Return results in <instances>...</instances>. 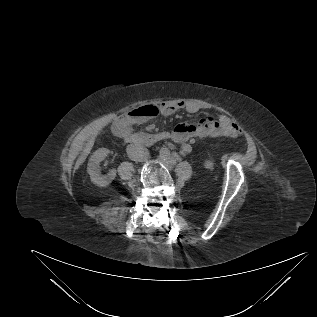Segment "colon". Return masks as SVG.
<instances>
[{"mask_svg": "<svg viewBox=\"0 0 317 317\" xmlns=\"http://www.w3.org/2000/svg\"><path fill=\"white\" fill-rule=\"evenodd\" d=\"M160 112L158 105L155 104H147L135 109H132L128 112V115L133 120H144L148 118L156 117Z\"/></svg>", "mask_w": 317, "mask_h": 317, "instance_id": "1", "label": "colon"}]
</instances>
